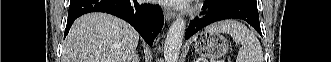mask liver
Instances as JSON below:
<instances>
[{"label": "liver", "mask_w": 331, "mask_h": 62, "mask_svg": "<svg viewBox=\"0 0 331 62\" xmlns=\"http://www.w3.org/2000/svg\"><path fill=\"white\" fill-rule=\"evenodd\" d=\"M139 34L125 21L106 13L75 20L63 45L62 62H131Z\"/></svg>", "instance_id": "liver-1"}]
</instances>
